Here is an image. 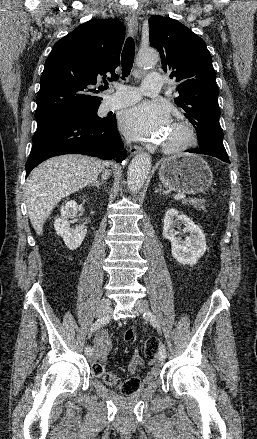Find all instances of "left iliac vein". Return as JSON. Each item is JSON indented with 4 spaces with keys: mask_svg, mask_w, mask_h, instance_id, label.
Listing matches in <instances>:
<instances>
[{
    "mask_svg": "<svg viewBox=\"0 0 257 439\" xmlns=\"http://www.w3.org/2000/svg\"><path fill=\"white\" fill-rule=\"evenodd\" d=\"M148 308H149L148 302L143 299L137 300L135 303V309L140 313H147ZM164 360L165 358L162 357L160 354L157 356V364L159 366H161L164 363Z\"/></svg>",
    "mask_w": 257,
    "mask_h": 439,
    "instance_id": "obj_1",
    "label": "left iliac vein"
}]
</instances>
